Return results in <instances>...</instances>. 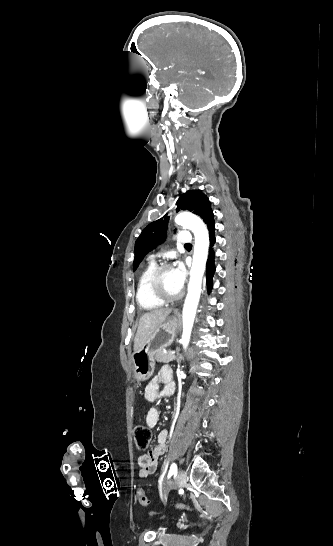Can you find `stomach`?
<instances>
[{
  "label": "stomach",
  "instance_id": "1",
  "mask_svg": "<svg viewBox=\"0 0 333 546\" xmlns=\"http://www.w3.org/2000/svg\"><path fill=\"white\" fill-rule=\"evenodd\" d=\"M177 326V318L175 316L169 317L156 329L147 343L133 353V370L137 380L145 381L152 376L156 355L173 343Z\"/></svg>",
  "mask_w": 333,
  "mask_h": 546
}]
</instances>
